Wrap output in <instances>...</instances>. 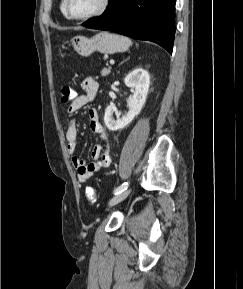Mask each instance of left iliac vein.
<instances>
[{"label": "left iliac vein", "mask_w": 243, "mask_h": 289, "mask_svg": "<svg viewBox=\"0 0 243 289\" xmlns=\"http://www.w3.org/2000/svg\"><path fill=\"white\" fill-rule=\"evenodd\" d=\"M131 192V189L124 190L119 194H115V196L109 201V206H114L119 202L123 201Z\"/></svg>", "instance_id": "left-iliac-vein-1"}]
</instances>
